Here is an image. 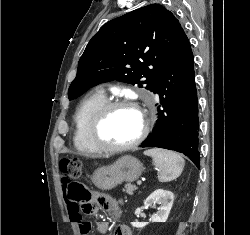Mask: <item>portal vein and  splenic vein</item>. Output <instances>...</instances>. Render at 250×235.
Masks as SVG:
<instances>
[{"mask_svg":"<svg viewBox=\"0 0 250 235\" xmlns=\"http://www.w3.org/2000/svg\"><path fill=\"white\" fill-rule=\"evenodd\" d=\"M141 183H142V182H141L140 180L137 181V185H141Z\"/></svg>","mask_w":250,"mask_h":235,"instance_id":"obj_1","label":"portal vein and splenic vein"}]
</instances>
